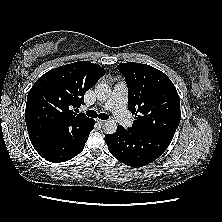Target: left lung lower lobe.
<instances>
[{
  "label": "left lung lower lobe",
  "mask_w": 222,
  "mask_h": 222,
  "mask_svg": "<svg viewBox=\"0 0 222 222\" xmlns=\"http://www.w3.org/2000/svg\"><path fill=\"white\" fill-rule=\"evenodd\" d=\"M172 138L165 134L133 132L119 125L114 134L105 136V142L116 159L131 167H142L161 156Z\"/></svg>",
  "instance_id": "obj_1"
}]
</instances>
